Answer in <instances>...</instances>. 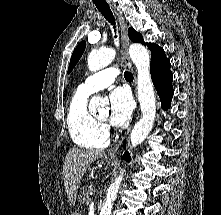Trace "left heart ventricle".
I'll return each instance as SVG.
<instances>
[{
  "instance_id": "1",
  "label": "left heart ventricle",
  "mask_w": 221,
  "mask_h": 215,
  "mask_svg": "<svg viewBox=\"0 0 221 215\" xmlns=\"http://www.w3.org/2000/svg\"><path fill=\"white\" fill-rule=\"evenodd\" d=\"M105 118H106V115H103V116L100 117V119H102V120L105 119Z\"/></svg>"
}]
</instances>
